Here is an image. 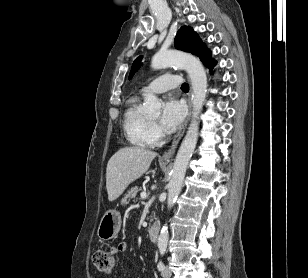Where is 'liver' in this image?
Listing matches in <instances>:
<instances>
[{"label":"liver","mask_w":308,"mask_h":278,"mask_svg":"<svg viewBox=\"0 0 308 278\" xmlns=\"http://www.w3.org/2000/svg\"><path fill=\"white\" fill-rule=\"evenodd\" d=\"M156 156V152L140 147L119 149L110 158L106 168L108 200H116L130 183L149 169Z\"/></svg>","instance_id":"1"}]
</instances>
